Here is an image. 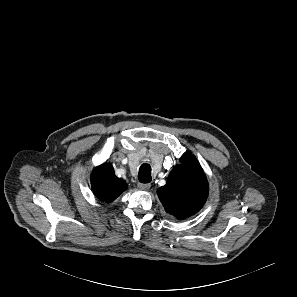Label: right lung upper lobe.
<instances>
[{
	"mask_svg": "<svg viewBox=\"0 0 297 297\" xmlns=\"http://www.w3.org/2000/svg\"><path fill=\"white\" fill-rule=\"evenodd\" d=\"M91 185L96 197L105 202L115 200L127 188L126 182L116 177L112 165L107 162L94 169Z\"/></svg>",
	"mask_w": 297,
	"mask_h": 297,
	"instance_id": "right-lung-upper-lobe-1",
	"label": "right lung upper lobe"
}]
</instances>
